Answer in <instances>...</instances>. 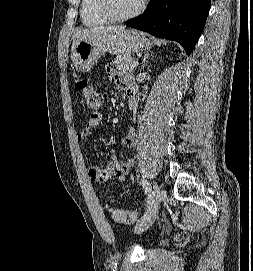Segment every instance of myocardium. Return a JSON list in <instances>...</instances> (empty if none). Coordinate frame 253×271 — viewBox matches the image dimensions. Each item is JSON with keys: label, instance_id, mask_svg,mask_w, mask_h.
Listing matches in <instances>:
<instances>
[{"label": "myocardium", "instance_id": "myocardium-1", "mask_svg": "<svg viewBox=\"0 0 253 271\" xmlns=\"http://www.w3.org/2000/svg\"><path fill=\"white\" fill-rule=\"evenodd\" d=\"M146 4L147 0H141L136 9L130 13L120 15L114 10L112 0H99V9L101 13L110 21L123 22L139 16L144 11Z\"/></svg>", "mask_w": 253, "mask_h": 271}]
</instances>
